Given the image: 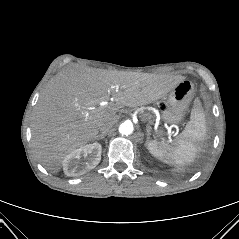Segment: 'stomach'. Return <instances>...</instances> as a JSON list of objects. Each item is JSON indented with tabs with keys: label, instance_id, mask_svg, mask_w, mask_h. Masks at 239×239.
Listing matches in <instances>:
<instances>
[{
	"label": "stomach",
	"instance_id": "0dacf381",
	"mask_svg": "<svg viewBox=\"0 0 239 239\" xmlns=\"http://www.w3.org/2000/svg\"><path fill=\"white\" fill-rule=\"evenodd\" d=\"M193 84L189 80L179 82L169 94L159 101L162 119L170 124L183 120L193 93Z\"/></svg>",
	"mask_w": 239,
	"mask_h": 239
}]
</instances>
